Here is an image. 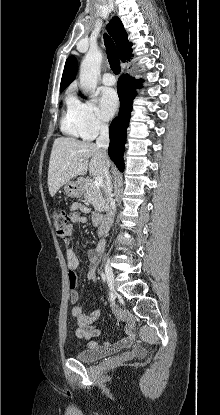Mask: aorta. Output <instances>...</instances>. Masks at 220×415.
<instances>
[{
    "instance_id": "aorta-1",
    "label": "aorta",
    "mask_w": 220,
    "mask_h": 415,
    "mask_svg": "<svg viewBox=\"0 0 220 415\" xmlns=\"http://www.w3.org/2000/svg\"><path fill=\"white\" fill-rule=\"evenodd\" d=\"M102 53L97 49H90L80 66V85L86 93L93 94L97 86L102 63Z\"/></svg>"
}]
</instances>
